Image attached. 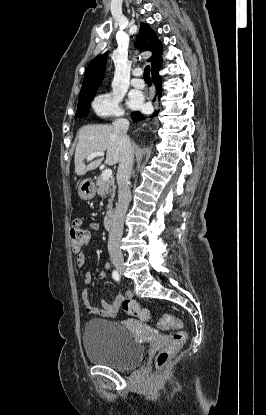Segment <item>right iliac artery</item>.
<instances>
[{"label": "right iliac artery", "mask_w": 266, "mask_h": 415, "mask_svg": "<svg viewBox=\"0 0 266 415\" xmlns=\"http://www.w3.org/2000/svg\"><path fill=\"white\" fill-rule=\"evenodd\" d=\"M112 277L115 281H120V275L116 270H113Z\"/></svg>", "instance_id": "right-iliac-artery-1"}]
</instances>
